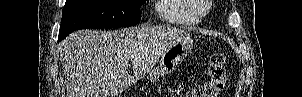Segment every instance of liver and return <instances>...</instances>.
I'll use <instances>...</instances> for the list:
<instances>
[{
    "mask_svg": "<svg viewBox=\"0 0 302 97\" xmlns=\"http://www.w3.org/2000/svg\"><path fill=\"white\" fill-rule=\"evenodd\" d=\"M182 33L171 27L72 33L60 45L67 97H100L102 91L117 96L149 73L170 42ZM129 61L134 76L128 73Z\"/></svg>",
    "mask_w": 302,
    "mask_h": 97,
    "instance_id": "obj_1",
    "label": "liver"
}]
</instances>
